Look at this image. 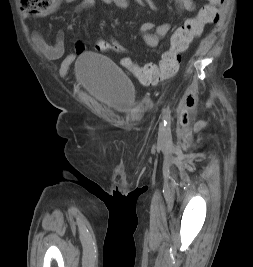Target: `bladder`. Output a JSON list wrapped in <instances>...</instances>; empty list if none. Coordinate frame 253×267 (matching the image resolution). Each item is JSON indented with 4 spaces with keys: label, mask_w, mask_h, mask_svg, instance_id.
<instances>
[{
    "label": "bladder",
    "mask_w": 253,
    "mask_h": 267,
    "mask_svg": "<svg viewBox=\"0 0 253 267\" xmlns=\"http://www.w3.org/2000/svg\"><path fill=\"white\" fill-rule=\"evenodd\" d=\"M78 83L105 106L128 113L137 102V92L128 76L105 56L85 52L75 65Z\"/></svg>",
    "instance_id": "31cf9c89"
}]
</instances>
